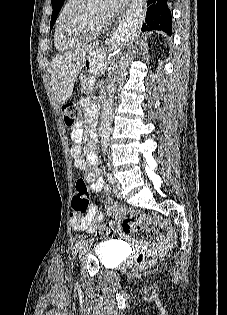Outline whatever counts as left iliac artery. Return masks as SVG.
<instances>
[{
  "mask_svg": "<svg viewBox=\"0 0 227 315\" xmlns=\"http://www.w3.org/2000/svg\"><path fill=\"white\" fill-rule=\"evenodd\" d=\"M107 177H108L109 183H110V184H113V183H114V177H113V175H112L111 173H108ZM81 242H82V239H81V240H78V241L75 243V245L73 246V248H72V255H73V258L76 257V254H77V252H78V249H79V247H80Z\"/></svg>",
  "mask_w": 227,
  "mask_h": 315,
  "instance_id": "left-iliac-artery-1",
  "label": "left iliac artery"
}]
</instances>
